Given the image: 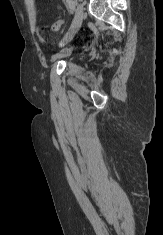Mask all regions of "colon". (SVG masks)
Wrapping results in <instances>:
<instances>
[{
    "instance_id": "colon-1",
    "label": "colon",
    "mask_w": 163,
    "mask_h": 235,
    "mask_svg": "<svg viewBox=\"0 0 163 235\" xmlns=\"http://www.w3.org/2000/svg\"><path fill=\"white\" fill-rule=\"evenodd\" d=\"M62 24H63V20H61V19L56 20L54 23H52L50 25V29L53 30V31H57V30H59L62 27ZM46 28H47L46 25L42 26L43 30H45Z\"/></svg>"
}]
</instances>
